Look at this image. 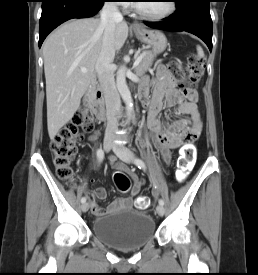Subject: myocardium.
<instances>
[{
  "instance_id": "obj_1",
  "label": "myocardium",
  "mask_w": 258,
  "mask_h": 275,
  "mask_svg": "<svg viewBox=\"0 0 258 275\" xmlns=\"http://www.w3.org/2000/svg\"><path fill=\"white\" fill-rule=\"evenodd\" d=\"M169 2V8L168 10L160 15H152L148 12H146L145 10H143L139 4H135L134 8L137 11V13H139L141 16L150 19V20H154V21H159V20H163L165 18H168L169 16H171L172 14L175 13L177 6H176V2L174 0H170Z\"/></svg>"
}]
</instances>
